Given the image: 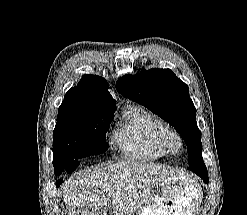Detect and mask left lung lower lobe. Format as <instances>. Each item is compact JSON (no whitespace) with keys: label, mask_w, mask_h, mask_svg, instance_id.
I'll return each instance as SVG.
<instances>
[{"label":"left lung lower lobe","mask_w":247,"mask_h":215,"mask_svg":"<svg viewBox=\"0 0 247 215\" xmlns=\"http://www.w3.org/2000/svg\"><path fill=\"white\" fill-rule=\"evenodd\" d=\"M193 172L200 176L205 183H208V172L205 165L201 166L198 169H195Z\"/></svg>","instance_id":"left-lung-lower-lobe-1"}]
</instances>
